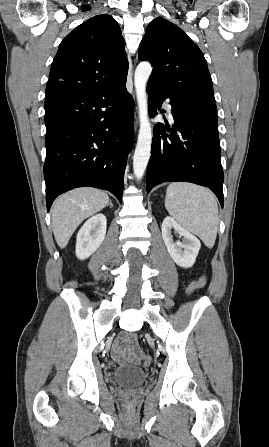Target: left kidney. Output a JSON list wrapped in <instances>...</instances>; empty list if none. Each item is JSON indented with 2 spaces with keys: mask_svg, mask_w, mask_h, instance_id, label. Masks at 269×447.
<instances>
[{
  "mask_svg": "<svg viewBox=\"0 0 269 447\" xmlns=\"http://www.w3.org/2000/svg\"><path fill=\"white\" fill-rule=\"evenodd\" d=\"M172 229L175 233L183 235V241H173ZM162 237L165 241V245L170 253L172 259H174L177 265L181 267H191L195 263V259L198 255V251L201 247V243L198 237L189 233L187 229H183L181 225L177 224L173 218H165L162 224Z\"/></svg>",
  "mask_w": 269,
  "mask_h": 447,
  "instance_id": "5707ae66",
  "label": "left kidney"
}]
</instances>
